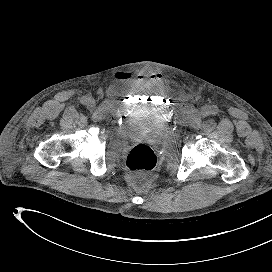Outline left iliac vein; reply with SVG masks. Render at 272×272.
Masks as SVG:
<instances>
[{
	"instance_id": "left-iliac-vein-1",
	"label": "left iliac vein",
	"mask_w": 272,
	"mask_h": 272,
	"mask_svg": "<svg viewBox=\"0 0 272 272\" xmlns=\"http://www.w3.org/2000/svg\"><path fill=\"white\" fill-rule=\"evenodd\" d=\"M209 113H210V110H209L208 107H204V108L201 110V115H202V116H207V115H209Z\"/></svg>"
}]
</instances>
